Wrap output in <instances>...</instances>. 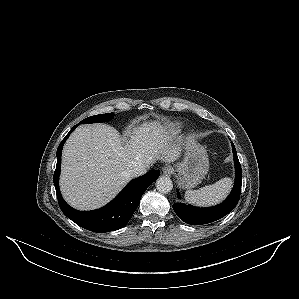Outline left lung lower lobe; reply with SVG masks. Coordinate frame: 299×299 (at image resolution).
Returning <instances> with one entry per match:
<instances>
[{
  "instance_id": "obj_1",
  "label": "left lung lower lobe",
  "mask_w": 299,
  "mask_h": 299,
  "mask_svg": "<svg viewBox=\"0 0 299 299\" xmlns=\"http://www.w3.org/2000/svg\"><path fill=\"white\" fill-rule=\"evenodd\" d=\"M232 143V142H231ZM234 163H235V183L230 195L219 205L209 208H197L183 203L173 204V209L178 217L190 225H202L214 222L227 215L237 205L242 184V170L238 160L236 149L232 143Z\"/></svg>"
}]
</instances>
